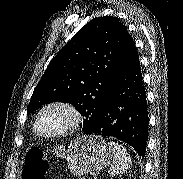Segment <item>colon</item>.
Instances as JSON below:
<instances>
[{"instance_id": "5ec220e1", "label": "colon", "mask_w": 183, "mask_h": 179, "mask_svg": "<svg viewBox=\"0 0 183 179\" xmlns=\"http://www.w3.org/2000/svg\"><path fill=\"white\" fill-rule=\"evenodd\" d=\"M50 164L39 148H31L25 156L22 179H46Z\"/></svg>"}]
</instances>
